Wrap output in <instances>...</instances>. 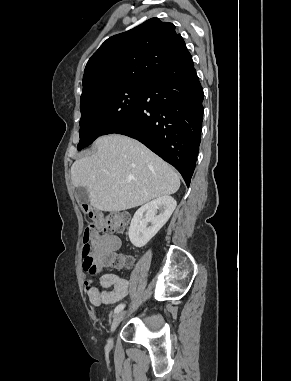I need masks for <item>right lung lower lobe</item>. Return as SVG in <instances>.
<instances>
[{
    "label": "right lung lower lobe",
    "instance_id": "98d812e1",
    "mask_svg": "<svg viewBox=\"0 0 291 381\" xmlns=\"http://www.w3.org/2000/svg\"><path fill=\"white\" fill-rule=\"evenodd\" d=\"M203 89L186 49L146 82L134 114L106 134L134 138L173 165L190 185L201 141Z\"/></svg>",
    "mask_w": 291,
    "mask_h": 381
}]
</instances>
